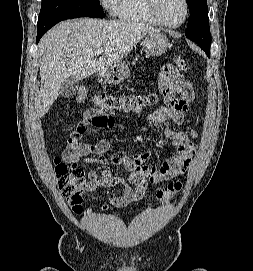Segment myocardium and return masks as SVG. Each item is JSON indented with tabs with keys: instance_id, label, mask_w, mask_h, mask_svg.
Segmentation results:
<instances>
[{
	"instance_id": "f54148a6",
	"label": "myocardium",
	"mask_w": 253,
	"mask_h": 271,
	"mask_svg": "<svg viewBox=\"0 0 253 271\" xmlns=\"http://www.w3.org/2000/svg\"><path fill=\"white\" fill-rule=\"evenodd\" d=\"M182 1L184 4V7H185V14H184L183 19L177 24H170L163 19V17L161 16V14L159 12V9H158V0H148V8H149V11L152 14V16L155 18V20L160 25L167 27V28L174 29V28H178V27L182 26L189 17L190 8H189L188 0H182Z\"/></svg>"
}]
</instances>
